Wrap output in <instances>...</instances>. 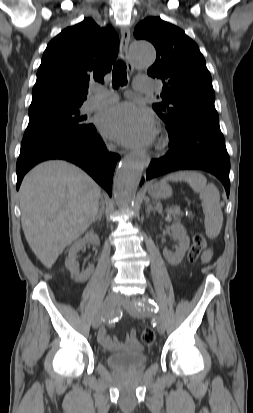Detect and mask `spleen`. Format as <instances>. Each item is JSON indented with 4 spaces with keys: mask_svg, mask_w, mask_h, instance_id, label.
Masks as SVG:
<instances>
[{
    "mask_svg": "<svg viewBox=\"0 0 253 413\" xmlns=\"http://www.w3.org/2000/svg\"><path fill=\"white\" fill-rule=\"evenodd\" d=\"M166 181H185L194 192L199 193L205 215L206 235L210 239L216 238L223 224L220 194L217 187L212 183L207 184L206 177L197 171L175 172L164 177L162 182Z\"/></svg>",
    "mask_w": 253,
    "mask_h": 413,
    "instance_id": "3e777b00",
    "label": "spleen"
}]
</instances>
